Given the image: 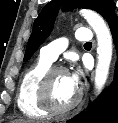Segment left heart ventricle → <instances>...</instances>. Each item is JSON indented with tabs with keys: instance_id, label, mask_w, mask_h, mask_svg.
<instances>
[{
	"instance_id": "1",
	"label": "left heart ventricle",
	"mask_w": 118,
	"mask_h": 123,
	"mask_svg": "<svg viewBox=\"0 0 118 123\" xmlns=\"http://www.w3.org/2000/svg\"><path fill=\"white\" fill-rule=\"evenodd\" d=\"M78 87L74 86L69 79L68 73H58L53 80L52 96L58 106L68 105L76 96Z\"/></svg>"
}]
</instances>
